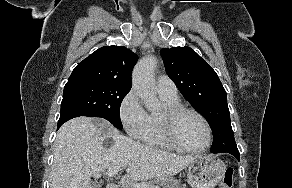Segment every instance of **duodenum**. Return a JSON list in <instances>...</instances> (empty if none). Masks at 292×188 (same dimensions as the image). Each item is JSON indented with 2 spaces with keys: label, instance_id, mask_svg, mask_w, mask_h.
<instances>
[{
  "label": "duodenum",
  "instance_id": "duodenum-1",
  "mask_svg": "<svg viewBox=\"0 0 292 188\" xmlns=\"http://www.w3.org/2000/svg\"><path fill=\"white\" fill-rule=\"evenodd\" d=\"M106 188H119V187L116 185H108Z\"/></svg>",
  "mask_w": 292,
  "mask_h": 188
}]
</instances>
